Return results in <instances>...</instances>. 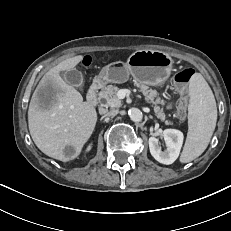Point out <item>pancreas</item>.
<instances>
[{
    "label": "pancreas",
    "mask_w": 231,
    "mask_h": 231,
    "mask_svg": "<svg viewBox=\"0 0 231 231\" xmlns=\"http://www.w3.org/2000/svg\"><path fill=\"white\" fill-rule=\"evenodd\" d=\"M134 84L138 88L139 92L145 96V100L151 104L156 117L165 122V124L172 125V122L166 119V115L163 110L164 101L158 96L157 91L149 88V86L145 84H140L137 82ZM118 91L119 88L117 86L108 85L100 91L98 99L99 101L103 102L105 108H119L122 105V102L117 97Z\"/></svg>",
    "instance_id": "obj_1"
}]
</instances>
